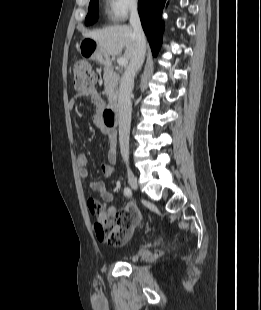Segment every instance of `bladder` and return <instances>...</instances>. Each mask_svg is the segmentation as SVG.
Masks as SVG:
<instances>
[{
  "label": "bladder",
  "mask_w": 261,
  "mask_h": 310,
  "mask_svg": "<svg viewBox=\"0 0 261 310\" xmlns=\"http://www.w3.org/2000/svg\"><path fill=\"white\" fill-rule=\"evenodd\" d=\"M134 250V248H130L127 253H131Z\"/></svg>",
  "instance_id": "bladder-1"
}]
</instances>
